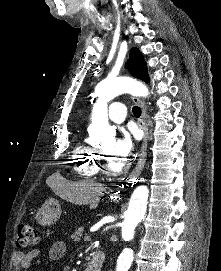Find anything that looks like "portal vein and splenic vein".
<instances>
[{"label":"portal vein and splenic vein","instance_id":"obj_1","mask_svg":"<svg viewBox=\"0 0 221 271\" xmlns=\"http://www.w3.org/2000/svg\"><path fill=\"white\" fill-rule=\"evenodd\" d=\"M89 240H90V239H89V237H85V241H87V242H88Z\"/></svg>","mask_w":221,"mask_h":271}]
</instances>
